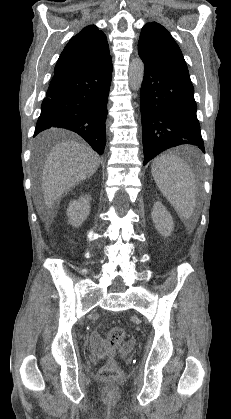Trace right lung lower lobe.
Masks as SVG:
<instances>
[{
	"mask_svg": "<svg viewBox=\"0 0 231 419\" xmlns=\"http://www.w3.org/2000/svg\"><path fill=\"white\" fill-rule=\"evenodd\" d=\"M111 78L112 61L95 69L55 72L34 136L52 127L70 129L102 154Z\"/></svg>",
	"mask_w": 231,
	"mask_h": 419,
	"instance_id": "right-lung-lower-lobe-1",
	"label": "right lung lower lobe"
}]
</instances>
